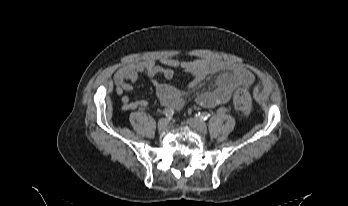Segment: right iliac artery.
<instances>
[{"label": "right iliac artery", "instance_id": "82829eb1", "mask_svg": "<svg viewBox=\"0 0 348 206\" xmlns=\"http://www.w3.org/2000/svg\"><path fill=\"white\" fill-rule=\"evenodd\" d=\"M141 107H144V104H141ZM144 110H146V112L148 113H154V110H149L147 109V107H144ZM174 113V110L171 108H166L165 110H163V115L170 117L172 116Z\"/></svg>", "mask_w": 348, "mask_h": 206}]
</instances>
